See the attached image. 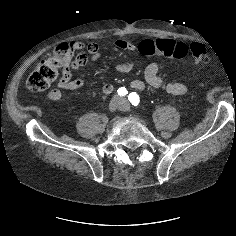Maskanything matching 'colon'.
I'll return each instance as SVG.
<instances>
[{
	"instance_id": "1",
	"label": "colon",
	"mask_w": 236,
	"mask_h": 236,
	"mask_svg": "<svg viewBox=\"0 0 236 236\" xmlns=\"http://www.w3.org/2000/svg\"><path fill=\"white\" fill-rule=\"evenodd\" d=\"M191 52L197 65L208 62L209 57L205 46L199 42H192L189 47L182 43L169 39H161L155 42L144 41L140 46V53L144 56L162 54L172 59H182ZM72 57V51L67 44H61L55 48L52 55L39 62L31 71L27 85L31 91H42L54 83L62 70H64Z\"/></svg>"
}]
</instances>
